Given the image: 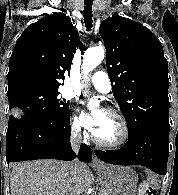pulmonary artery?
<instances>
[{"instance_id": "e3ab8cb5", "label": "pulmonary artery", "mask_w": 178, "mask_h": 195, "mask_svg": "<svg viewBox=\"0 0 178 195\" xmlns=\"http://www.w3.org/2000/svg\"><path fill=\"white\" fill-rule=\"evenodd\" d=\"M89 82L100 93L107 94L111 91L110 79L104 71L95 72L89 79Z\"/></svg>"}]
</instances>
